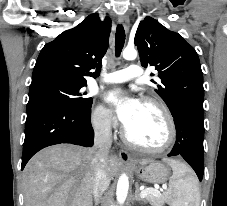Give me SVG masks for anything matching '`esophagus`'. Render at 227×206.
I'll return each mask as SVG.
<instances>
[{
	"label": "esophagus",
	"mask_w": 227,
	"mask_h": 206,
	"mask_svg": "<svg viewBox=\"0 0 227 206\" xmlns=\"http://www.w3.org/2000/svg\"><path fill=\"white\" fill-rule=\"evenodd\" d=\"M119 23L123 25L125 31L129 30V18H128L127 15L120 16ZM119 157L123 161H129L130 160L129 153L126 150H124L123 148L119 149Z\"/></svg>",
	"instance_id": "34e87169"
}]
</instances>
